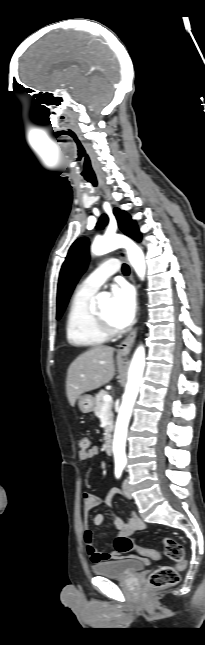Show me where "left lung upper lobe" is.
I'll return each mask as SVG.
<instances>
[{"label":"left lung upper lobe","mask_w":205,"mask_h":645,"mask_svg":"<svg viewBox=\"0 0 205 645\" xmlns=\"http://www.w3.org/2000/svg\"><path fill=\"white\" fill-rule=\"evenodd\" d=\"M118 226L127 236L136 241L141 240V234L136 222L130 215L118 208L113 210ZM108 222L106 215H103L96 228H103ZM89 261V240L86 237L77 239L69 249L67 257L62 265L57 291V319L65 310L69 297L82 273L86 270Z\"/></svg>","instance_id":"1"}]
</instances>
